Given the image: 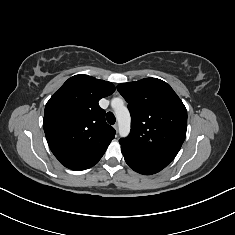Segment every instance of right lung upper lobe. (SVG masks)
I'll return each instance as SVG.
<instances>
[{
    "mask_svg": "<svg viewBox=\"0 0 235 235\" xmlns=\"http://www.w3.org/2000/svg\"><path fill=\"white\" fill-rule=\"evenodd\" d=\"M115 86L88 75L69 78L45 106L43 127L49 147L65 167L87 169L95 165L114 139L105 121L101 98Z\"/></svg>",
    "mask_w": 235,
    "mask_h": 235,
    "instance_id": "cb5924a9",
    "label": "right lung upper lobe"
}]
</instances>
